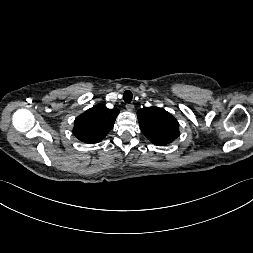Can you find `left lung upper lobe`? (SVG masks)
Wrapping results in <instances>:
<instances>
[{
	"instance_id": "5c2ea615",
	"label": "left lung upper lobe",
	"mask_w": 253,
	"mask_h": 253,
	"mask_svg": "<svg viewBox=\"0 0 253 253\" xmlns=\"http://www.w3.org/2000/svg\"><path fill=\"white\" fill-rule=\"evenodd\" d=\"M144 135L155 145H165L179 136V124L175 117L159 107H144L137 112Z\"/></svg>"
}]
</instances>
